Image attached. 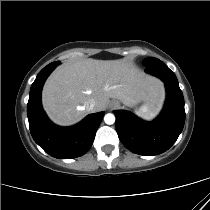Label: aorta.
<instances>
[{"label": "aorta", "mask_w": 210, "mask_h": 210, "mask_svg": "<svg viewBox=\"0 0 210 210\" xmlns=\"http://www.w3.org/2000/svg\"><path fill=\"white\" fill-rule=\"evenodd\" d=\"M104 121L106 124L111 125L115 122V116L111 113H108L104 116Z\"/></svg>", "instance_id": "obj_1"}]
</instances>
